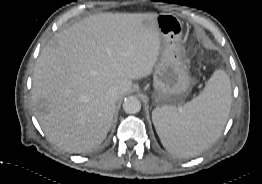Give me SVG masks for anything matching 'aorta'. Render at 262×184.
<instances>
[{
  "mask_svg": "<svg viewBox=\"0 0 262 184\" xmlns=\"http://www.w3.org/2000/svg\"><path fill=\"white\" fill-rule=\"evenodd\" d=\"M141 109V103L135 96L126 98L123 102V110L128 114H135Z\"/></svg>",
  "mask_w": 262,
  "mask_h": 184,
  "instance_id": "obj_1",
  "label": "aorta"
}]
</instances>
